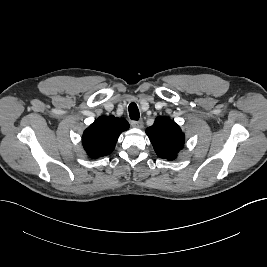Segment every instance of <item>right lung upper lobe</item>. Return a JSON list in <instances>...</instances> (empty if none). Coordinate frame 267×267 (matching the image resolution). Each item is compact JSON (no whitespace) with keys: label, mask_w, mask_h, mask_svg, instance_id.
<instances>
[{"label":"right lung upper lobe","mask_w":267,"mask_h":267,"mask_svg":"<svg viewBox=\"0 0 267 267\" xmlns=\"http://www.w3.org/2000/svg\"><path fill=\"white\" fill-rule=\"evenodd\" d=\"M128 129L129 123L124 118L101 116L84 131L83 147L91 158L109 155L119 135Z\"/></svg>","instance_id":"1"}]
</instances>
